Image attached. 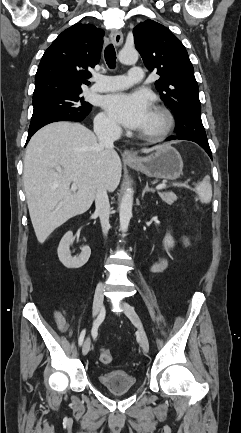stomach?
Returning <instances> with one entry per match:
<instances>
[{
  "mask_svg": "<svg viewBox=\"0 0 241 433\" xmlns=\"http://www.w3.org/2000/svg\"><path fill=\"white\" fill-rule=\"evenodd\" d=\"M127 164L148 177L167 180L179 178L183 169L181 155L171 145H162L150 156L127 161Z\"/></svg>",
  "mask_w": 241,
  "mask_h": 433,
  "instance_id": "0dacf381",
  "label": "stomach"
}]
</instances>
